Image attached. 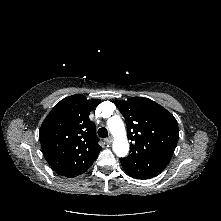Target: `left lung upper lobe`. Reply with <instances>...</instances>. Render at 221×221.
Returning a JSON list of instances; mask_svg holds the SVG:
<instances>
[{"label":"left lung upper lobe","mask_w":221,"mask_h":221,"mask_svg":"<svg viewBox=\"0 0 221 221\" xmlns=\"http://www.w3.org/2000/svg\"><path fill=\"white\" fill-rule=\"evenodd\" d=\"M127 124L131 140L130 154L126 157L137 163H162L167 165L179 138L174 116L156 102L133 97L115 101Z\"/></svg>","instance_id":"left-lung-upper-lobe-1"}]
</instances>
